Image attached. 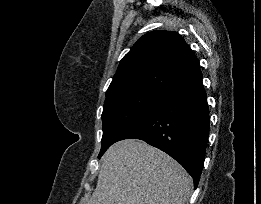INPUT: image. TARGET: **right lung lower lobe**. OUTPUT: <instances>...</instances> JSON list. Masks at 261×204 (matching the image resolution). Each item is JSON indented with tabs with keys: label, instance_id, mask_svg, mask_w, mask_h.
<instances>
[{
	"label": "right lung lower lobe",
	"instance_id": "98d812e1",
	"mask_svg": "<svg viewBox=\"0 0 261 204\" xmlns=\"http://www.w3.org/2000/svg\"><path fill=\"white\" fill-rule=\"evenodd\" d=\"M209 109L202 73L170 89L117 141L135 138L166 152L192 176L197 188L209 136Z\"/></svg>",
	"mask_w": 261,
	"mask_h": 204
}]
</instances>
